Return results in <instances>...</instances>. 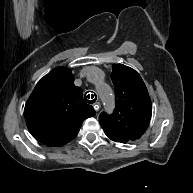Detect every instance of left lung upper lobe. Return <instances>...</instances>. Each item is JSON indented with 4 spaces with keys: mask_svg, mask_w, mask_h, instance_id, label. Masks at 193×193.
<instances>
[{
    "mask_svg": "<svg viewBox=\"0 0 193 193\" xmlns=\"http://www.w3.org/2000/svg\"><path fill=\"white\" fill-rule=\"evenodd\" d=\"M116 108L111 115L101 113L99 121L105 134L114 141L131 142L146 131L152 107L147 88L140 75L123 64L113 66L111 74Z\"/></svg>",
    "mask_w": 193,
    "mask_h": 193,
    "instance_id": "obj_1",
    "label": "left lung upper lobe"
}]
</instances>
